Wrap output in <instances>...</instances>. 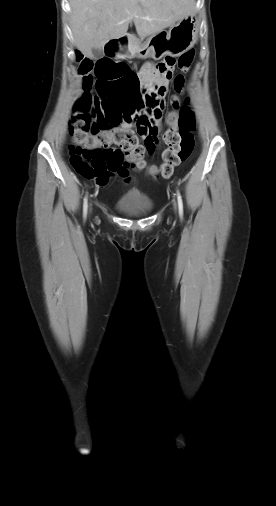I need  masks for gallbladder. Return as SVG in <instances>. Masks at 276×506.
<instances>
[{
    "mask_svg": "<svg viewBox=\"0 0 276 506\" xmlns=\"http://www.w3.org/2000/svg\"><path fill=\"white\" fill-rule=\"evenodd\" d=\"M92 53H93V57L96 58V59H99L103 56V52L101 49H96V48H93L92 49Z\"/></svg>",
    "mask_w": 276,
    "mask_h": 506,
    "instance_id": "bac80fb5",
    "label": "gallbladder"
}]
</instances>
